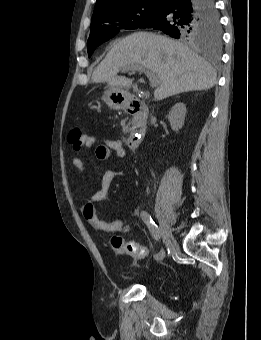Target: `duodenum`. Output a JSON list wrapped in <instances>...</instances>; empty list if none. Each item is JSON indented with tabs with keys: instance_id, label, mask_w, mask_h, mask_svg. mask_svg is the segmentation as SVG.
Instances as JSON below:
<instances>
[{
	"instance_id": "obj_1",
	"label": "duodenum",
	"mask_w": 261,
	"mask_h": 340,
	"mask_svg": "<svg viewBox=\"0 0 261 340\" xmlns=\"http://www.w3.org/2000/svg\"><path fill=\"white\" fill-rule=\"evenodd\" d=\"M126 111L132 115L129 135L126 143L131 149L140 145L147 127L148 110L143 100L134 98L127 103Z\"/></svg>"
}]
</instances>
